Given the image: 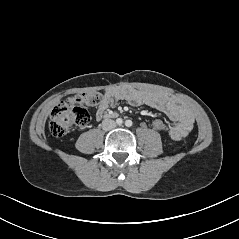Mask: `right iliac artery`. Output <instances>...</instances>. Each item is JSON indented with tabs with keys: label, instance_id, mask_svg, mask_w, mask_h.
I'll list each match as a JSON object with an SVG mask.
<instances>
[{
	"label": "right iliac artery",
	"instance_id": "82829eb1",
	"mask_svg": "<svg viewBox=\"0 0 239 239\" xmlns=\"http://www.w3.org/2000/svg\"><path fill=\"white\" fill-rule=\"evenodd\" d=\"M116 123H117L118 125H122L123 120H122L121 118H118V119H116Z\"/></svg>",
	"mask_w": 239,
	"mask_h": 239
}]
</instances>
